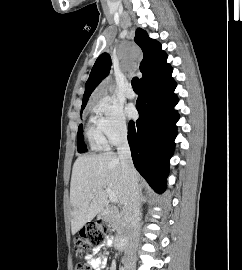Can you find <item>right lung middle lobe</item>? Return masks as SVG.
I'll return each instance as SVG.
<instances>
[{"mask_svg":"<svg viewBox=\"0 0 242 270\" xmlns=\"http://www.w3.org/2000/svg\"><path fill=\"white\" fill-rule=\"evenodd\" d=\"M83 109L84 108H81V113H82ZM83 140H84V138H83V126L81 124L78 127V140H77L78 152L79 153H84V152L87 151V148H86Z\"/></svg>","mask_w":242,"mask_h":270,"instance_id":"dd1d6c3e","label":"right lung middle lobe"}]
</instances>
